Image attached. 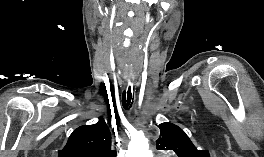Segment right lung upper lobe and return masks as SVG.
Masks as SVG:
<instances>
[{"label": "right lung upper lobe", "mask_w": 264, "mask_h": 157, "mask_svg": "<svg viewBox=\"0 0 264 157\" xmlns=\"http://www.w3.org/2000/svg\"><path fill=\"white\" fill-rule=\"evenodd\" d=\"M58 157H116L105 121L100 118L97 124L75 129L64 149L59 150Z\"/></svg>", "instance_id": "right-lung-upper-lobe-1"}]
</instances>
